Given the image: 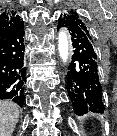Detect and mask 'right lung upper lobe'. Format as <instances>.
Here are the masks:
<instances>
[{"label": "right lung upper lobe", "instance_id": "cb5924a9", "mask_svg": "<svg viewBox=\"0 0 117 136\" xmlns=\"http://www.w3.org/2000/svg\"><path fill=\"white\" fill-rule=\"evenodd\" d=\"M22 20L15 11H5L0 15V41H2Z\"/></svg>", "mask_w": 117, "mask_h": 136}]
</instances>
